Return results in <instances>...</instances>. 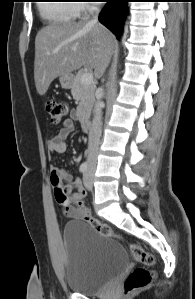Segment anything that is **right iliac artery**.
I'll list each match as a JSON object with an SVG mask.
<instances>
[{
  "instance_id": "1",
  "label": "right iliac artery",
  "mask_w": 195,
  "mask_h": 299,
  "mask_svg": "<svg viewBox=\"0 0 195 299\" xmlns=\"http://www.w3.org/2000/svg\"><path fill=\"white\" fill-rule=\"evenodd\" d=\"M87 168H88V164H87V162H83V163L80 165L79 170H80L81 173L84 174V173L87 171Z\"/></svg>"
}]
</instances>
